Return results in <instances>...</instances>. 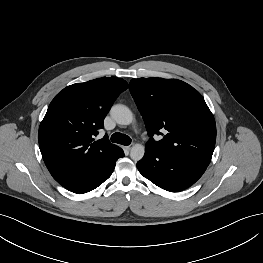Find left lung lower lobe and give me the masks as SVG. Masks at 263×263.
<instances>
[{"label":"left lung lower lobe","instance_id":"obj_1","mask_svg":"<svg viewBox=\"0 0 263 263\" xmlns=\"http://www.w3.org/2000/svg\"><path fill=\"white\" fill-rule=\"evenodd\" d=\"M137 168L158 187L179 192L194 184L207 166L173 152H158L145 148V155L137 163Z\"/></svg>","mask_w":263,"mask_h":263}]
</instances>
